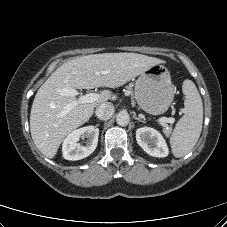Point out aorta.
Wrapping results in <instances>:
<instances>
[{
  "label": "aorta",
  "mask_w": 227,
  "mask_h": 227,
  "mask_svg": "<svg viewBox=\"0 0 227 227\" xmlns=\"http://www.w3.org/2000/svg\"><path fill=\"white\" fill-rule=\"evenodd\" d=\"M116 122L120 126H126L130 122L129 114L126 111H120L116 116Z\"/></svg>",
  "instance_id": "1"
}]
</instances>
